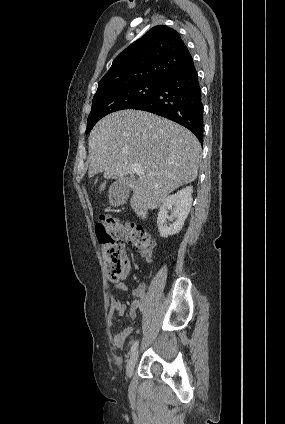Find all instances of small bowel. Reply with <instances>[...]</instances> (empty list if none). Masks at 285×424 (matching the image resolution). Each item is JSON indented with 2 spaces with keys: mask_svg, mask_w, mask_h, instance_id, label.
I'll return each instance as SVG.
<instances>
[{
  "mask_svg": "<svg viewBox=\"0 0 285 424\" xmlns=\"http://www.w3.org/2000/svg\"><path fill=\"white\" fill-rule=\"evenodd\" d=\"M130 270V263H126V267L124 270V273L120 277V279L113 281L114 288L124 294L127 292L128 287L125 282H123V279L127 276L128 272ZM132 296L133 301L131 303L130 309H129V318L134 319L136 318L137 314L143 313L148 308V300L146 298L145 294V286L144 284H140L136 286L132 290ZM127 310V306L122 298L117 297L116 295H112L110 299V306H109V318L112 321L117 316H122L125 314ZM130 327H125L121 330H116L113 335V345L116 348H122L130 334Z\"/></svg>",
  "mask_w": 285,
  "mask_h": 424,
  "instance_id": "c3829d8e",
  "label": "small bowel"
}]
</instances>
